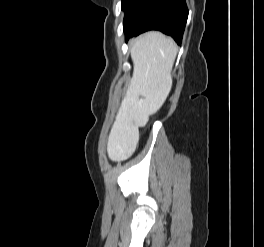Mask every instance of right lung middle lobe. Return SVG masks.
Instances as JSON below:
<instances>
[{
	"label": "right lung middle lobe",
	"instance_id": "1",
	"mask_svg": "<svg viewBox=\"0 0 264 247\" xmlns=\"http://www.w3.org/2000/svg\"><path fill=\"white\" fill-rule=\"evenodd\" d=\"M131 0H122V4H121V8L122 10H125L128 3L130 2Z\"/></svg>",
	"mask_w": 264,
	"mask_h": 247
}]
</instances>
